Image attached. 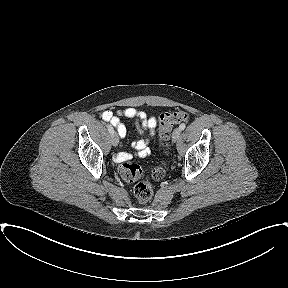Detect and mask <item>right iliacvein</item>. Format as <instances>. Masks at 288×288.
I'll list each match as a JSON object with an SVG mask.
<instances>
[{"label": "right iliac vein", "instance_id": "obj_1", "mask_svg": "<svg viewBox=\"0 0 288 288\" xmlns=\"http://www.w3.org/2000/svg\"><path fill=\"white\" fill-rule=\"evenodd\" d=\"M111 143L113 146H117L118 143H119V138H118V135L116 133H113L111 135Z\"/></svg>", "mask_w": 288, "mask_h": 288}]
</instances>
